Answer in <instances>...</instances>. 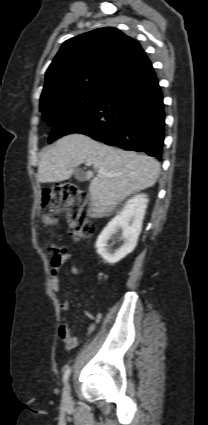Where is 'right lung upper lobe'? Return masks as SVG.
Wrapping results in <instances>:
<instances>
[{"label": "right lung upper lobe", "mask_w": 208, "mask_h": 425, "mask_svg": "<svg viewBox=\"0 0 208 425\" xmlns=\"http://www.w3.org/2000/svg\"><path fill=\"white\" fill-rule=\"evenodd\" d=\"M144 56L136 40L113 27L71 38L46 71L40 102L84 89H106Z\"/></svg>", "instance_id": "right-lung-upper-lobe-1"}]
</instances>
